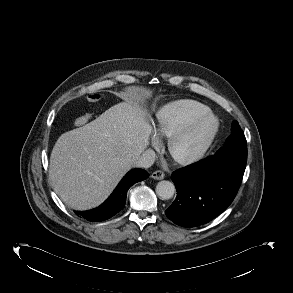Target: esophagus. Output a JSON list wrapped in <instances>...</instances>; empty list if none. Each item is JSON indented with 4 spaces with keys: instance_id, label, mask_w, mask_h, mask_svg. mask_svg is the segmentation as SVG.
<instances>
[{
    "instance_id": "34e87169",
    "label": "esophagus",
    "mask_w": 293,
    "mask_h": 293,
    "mask_svg": "<svg viewBox=\"0 0 293 293\" xmlns=\"http://www.w3.org/2000/svg\"><path fill=\"white\" fill-rule=\"evenodd\" d=\"M151 177L156 180H162L165 177V173L161 170H157L151 174Z\"/></svg>"
}]
</instances>
